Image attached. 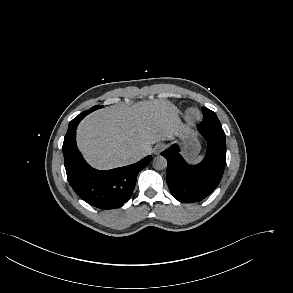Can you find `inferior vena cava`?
Listing matches in <instances>:
<instances>
[{"label": "inferior vena cava", "instance_id": "1", "mask_svg": "<svg viewBox=\"0 0 293 293\" xmlns=\"http://www.w3.org/2000/svg\"><path fill=\"white\" fill-rule=\"evenodd\" d=\"M141 158H142V155L136 153L133 155V162L139 161Z\"/></svg>", "mask_w": 293, "mask_h": 293}]
</instances>
